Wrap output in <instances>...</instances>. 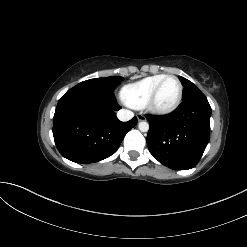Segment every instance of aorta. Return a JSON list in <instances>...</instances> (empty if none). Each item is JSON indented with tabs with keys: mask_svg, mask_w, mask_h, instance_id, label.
<instances>
[{
	"mask_svg": "<svg viewBox=\"0 0 247 247\" xmlns=\"http://www.w3.org/2000/svg\"><path fill=\"white\" fill-rule=\"evenodd\" d=\"M138 128L141 132H147L149 130V124L145 121H142L138 124Z\"/></svg>",
	"mask_w": 247,
	"mask_h": 247,
	"instance_id": "762f6f07",
	"label": "aorta"
}]
</instances>
